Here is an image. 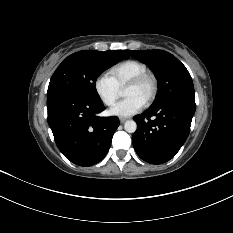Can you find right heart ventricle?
Instances as JSON below:
<instances>
[{"instance_id":"e07e8e85","label":"right heart ventricle","mask_w":233,"mask_h":233,"mask_svg":"<svg viewBox=\"0 0 233 233\" xmlns=\"http://www.w3.org/2000/svg\"><path fill=\"white\" fill-rule=\"evenodd\" d=\"M148 68L138 60H126L113 66L109 73L119 88H123L131 79L145 73Z\"/></svg>"}]
</instances>
